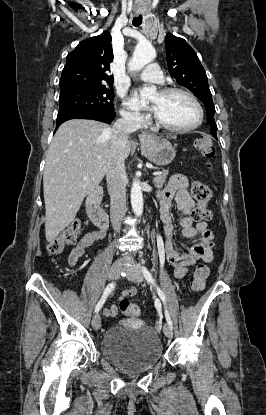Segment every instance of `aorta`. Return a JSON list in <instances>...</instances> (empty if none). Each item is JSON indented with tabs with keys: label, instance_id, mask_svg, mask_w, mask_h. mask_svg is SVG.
Listing matches in <instances>:
<instances>
[{
	"label": "aorta",
	"instance_id": "obj_1",
	"mask_svg": "<svg viewBox=\"0 0 266 415\" xmlns=\"http://www.w3.org/2000/svg\"><path fill=\"white\" fill-rule=\"evenodd\" d=\"M156 57V52L149 42L138 44L133 52L132 59L129 63V68L134 71H140L145 65L150 63ZM156 93L155 87L143 88L140 91L142 102H147L154 98ZM131 205L136 216H141L143 213V194L140 182L135 180L131 187Z\"/></svg>",
	"mask_w": 266,
	"mask_h": 415
}]
</instances>
